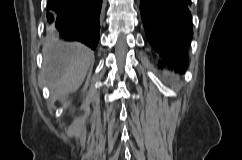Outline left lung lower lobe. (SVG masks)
<instances>
[{
	"instance_id": "obj_1",
	"label": "left lung lower lobe",
	"mask_w": 242,
	"mask_h": 160,
	"mask_svg": "<svg viewBox=\"0 0 242 160\" xmlns=\"http://www.w3.org/2000/svg\"><path fill=\"white\" fill-rule=\"evenodd\" d=\"M190 7L191 0H141L142 21L149 43L161 57L159 66L185 71L193 35Z\"/></svg>"
}]
</instances>
